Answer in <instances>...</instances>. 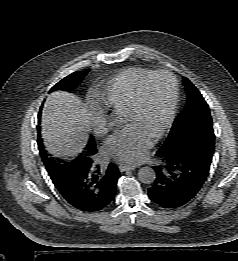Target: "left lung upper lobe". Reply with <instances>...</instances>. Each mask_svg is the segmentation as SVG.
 <instances>
[{
    "label": "left lung upper lobe",
    "mask_w": 238,
    "mask_h": 261,
    "mask_svg": "<svg viewBox=\"0 0 238 261\" xmlns=\"http://www.w3.org/2000/svg\"><path fill=\"white\" fill-rule=\"evenodd\" d=\"M184 84L187 92L186 105L176 117L166 141L157 153L177 151L203 140L210 141L214 146L215 136L208 104L190 80L185 78Z\"/></svg>",
    "instance_id": "left-lung-upper-lobe-1"
}]
</instances>
